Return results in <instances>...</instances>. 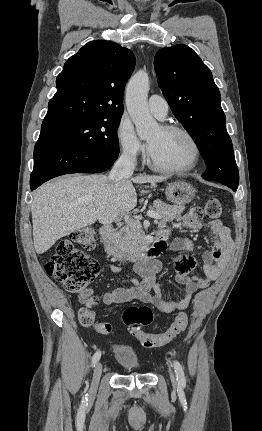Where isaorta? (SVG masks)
<instances>
[{
    "instance_id": "obj_1",
    "label": "aorta",
    "mask_w": 262,
    "mask_h": 431,
    "mask_svg": "<svg viewBox=\"0 0 262 431\" xmlns=\"http://www.w3.org/2000/svg\"><path fill=\"white\" fill-rule=\"evenodd\" d=\"M149 87L148 74L141 70L132 76L126 88L127 110L141 138L149 136L158 127L147 103Z\"/></svg>"
}]
</instances>
